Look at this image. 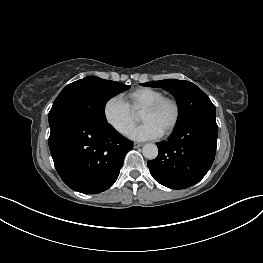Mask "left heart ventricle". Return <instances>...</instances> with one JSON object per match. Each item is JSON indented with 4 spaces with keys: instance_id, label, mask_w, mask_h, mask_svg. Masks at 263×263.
<instances>
[{
    "instance_id": "obj_1",
    "label": "left heart ventricle",
    "mask_w": 263,
    "mask_h": 263,
    "mask_svg": "<svg viewBox=\"0 0 263 263\" xmlns=\"http://www.w3.org/2000/svg\"><path fill=\"white\" fill-rule=\"evenodd\" d=\"M172 116V107L170 105H165L162 108L155 111L143 110L141 113V120L144 122H154L164 131L169 122L171 121Z\"/></svg>"
}]
</instances>
